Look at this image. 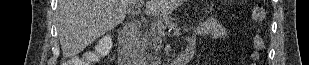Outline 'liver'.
I'll return each instance as SVG.
<instances>
[{
    "mask_svg": "<svg viewBox=\"0 0 309 65\" xmlns=\"http://www.w3.org/2000/svg\"><path fill=\"white\" fill-rule=\"evenodd\" d=\"M135 0H59L57 31L64 58L83 51L106 32L122 23ZM182 0H146L154 14L171 13Z\"/></svg>",
    "mask_w": 309,
    "mask_h": 65,
    "instance_id": "6515ba94",
    "label": "liver"
}]
</instances>
